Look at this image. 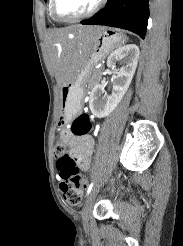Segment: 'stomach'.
<instances>
[{"label": "stomach", "instance_id": "obj_1", "mask_svg": "<svg viewBox=\"0 0 183 246\" xmlns=\"http://www.w3.org/2000/svg\"><path fill=\"white\" fill-rule=\"evenodd\" d=\"M124 39L120 30L105 27L99 30L93 42L86 47L84 61L78 67L77 73L61 88L62 112L58 125L61 127L67 125L79 113L84 96V85L89 79L93 66Z\"/></svg>", "mask_w": 183, "mask_h": 246}]
</instances>
